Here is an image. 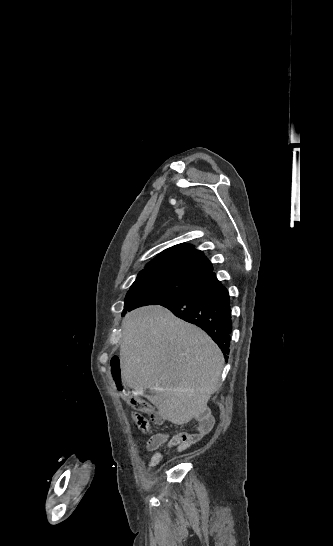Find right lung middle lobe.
<instances>
[{
	"label": "right lung middle lobe",
	"instance_id": "dd1d6c3e",
	"mask_svg": "<svg viewBox=\"0 0 333 546\" xmlns=\"http://www.w3.org/2000/svg\"><path fill=\"white\" fill-rule=\"evenodd\" d=\"M202 280H193L169 274H139L130 287L124 312L140 306L159 304L196 289Z\"/></svg>",
	"mask_w": 333,
	"mask_h": 546
}]
</instances>
